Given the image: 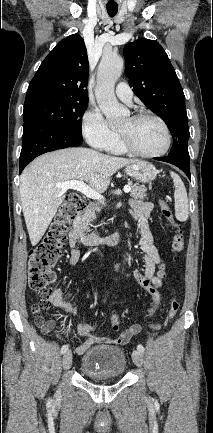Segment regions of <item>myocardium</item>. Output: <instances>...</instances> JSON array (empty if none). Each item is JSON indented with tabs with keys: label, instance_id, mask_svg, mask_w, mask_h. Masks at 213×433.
I'll return each instance as SVG.
<instances>
[{
	"label": "myocardium",
	"instance_id": "obj_1",
	"mask_svg": "<svg viewBox=\"0 0 213 433\" xmlns=\"http://www.w3.org/2000/svg\"><path fill=\"white\" fill-rule=\"evenodd\" d=\"M133 121H140L143 119H151L156 121L164 130L165 135H166V144L164 146V148L156 153H146V152H142L140 150H138L137 148H135L133 146V144L129 141V139L121 132H118V138L120 141L121 146L123 147V149L129 153L132 154L134 156H138V157H143V158H157V157H162L164 156L170 149L171 144H172V134L171 131L167 125V123L159 116L147 112V111H142V112H138L133 114L130 117Z\"/></svg>",
	"mask_w": 213,
	"mask_h": 433
}]
</instances>
